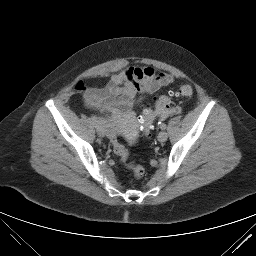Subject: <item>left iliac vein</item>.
<instances>
[{
	"mask_svg": "<svg viewBox=\"0 0 256 256\" xmlns=\"http://www.w3.org/2000/svg\"><path fill=\"white\" fill-rule=\"evenodd\" d=\"M158 141L159 142H165L166 140H167V138H168V135H167V133L165 132V131H161L159 134H158Z\"/></svg>",
	"mask_w": 256,
	"mask_h": 256,
	"instance_id": "left-iliac-vein-1",
	"label": "left iliac vein"
}]
</instances>
